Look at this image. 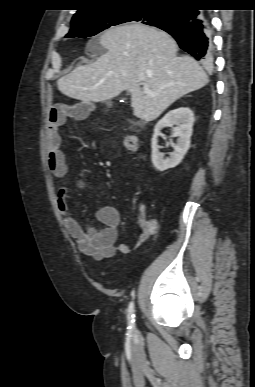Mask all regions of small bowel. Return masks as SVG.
<instances>
[{
    "mask_svg": "<svg viewBox=\"0 0 255 387\" xmlns=\"http://www.w3.org/2000/svg\"><path fill=\"white\" fill-rule=\"evenodd\" d=\"M65 121V112L62 109H53L49 120V169L57 176L63 177L67 173V165L63 152L60 150L62 138L59 126ZM75 186L81 189L90 188L83 180H76ZM71 186L62 185L57 191L56 201L66 229L76 242L79 251L96 259L109 258L116 254L130 253V247L125 243H117L118 227L121 222L119 211L112 206H101L96 211V217L105 227L96 229L92 226L83 225L70 213L69 197ZM147 240V236L140 235L137 247Z\"/></svg>",
    "mask_w": 255,
    "mask_h": 387,
    "instance_id": "small-bowel-1",
    "label": "small bowel"
}]
</instances>
